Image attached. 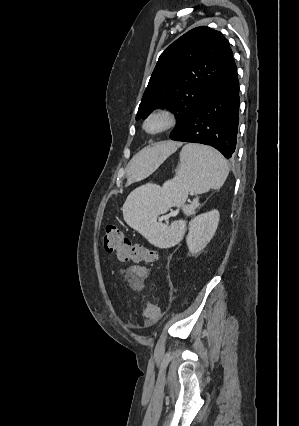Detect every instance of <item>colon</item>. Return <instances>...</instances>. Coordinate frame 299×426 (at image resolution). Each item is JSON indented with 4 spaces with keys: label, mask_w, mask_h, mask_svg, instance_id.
<instances>
[{
    "label": "colon",
    "mask_w": 299,
    "mask_h": 426,
    "mask_svg": "<svg viewBox=\"0 0 299 426\" xmlns=\"http://www.w3.org/2000/svg\"><path fill=\"white\" fill-rule=\"evenodd\" d=\"M104 250L108 253H115L122 262H144L152 263L158 259V253L146 246L133 243L119 227L109 224L105 227L103 237ZM143 316L145 326L155 324L160 318L157 305L151 300H145L143 306Z\"/></svg>",
    "instance_id": "1"
}]
</instances>
